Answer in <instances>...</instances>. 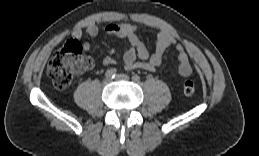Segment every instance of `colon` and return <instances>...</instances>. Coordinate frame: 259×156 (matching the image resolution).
Returning <instances> with one entry per match:
<instances>
[{"mask_svg":"<svg viewBox=\"0 0 259 156\" xmlns=\"http://www.w3.org/2000/svg\"><path fill=\"white\" fill-rule=\"evenodd\" d=\"M91 66L92 60L83 54L82 45L77 40H70L52 55L47 65V74L57 89H65L76 75ZM183 92L187 96L192 95L195 92L194 83L186 81Z\"/></svg>","mask_w":259,"mask_h":156,"instance_id":"colon-1","label":"colon"}]
</instances>
